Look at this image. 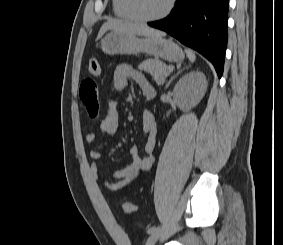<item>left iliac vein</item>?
<instances>
[{
	"mask_svg": "<svg viewBox=\"0 0 283 245\" xmlns=\"http://www.w3.org/2000/svg\"><path fill=\"white\" fill-rule=\"evenodd\" d=\"M160 236H161V229L158 230L157 232L151 234L148 237V239L146 241V245H154L155 242L160 238Z\"/></svg>",
	"mask_w": 283,
	"mask_h": 245,
	"instance_id": "obj_1",
	"label": "left iliac vein"
}]
</instances>
